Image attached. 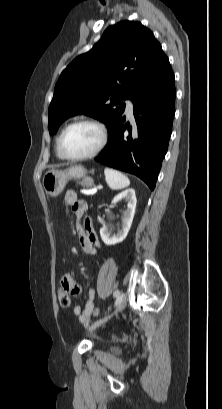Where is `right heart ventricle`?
Here are the masks:
<instances>
[{
  "instance_id": "obj_1",
  "label": "right heart ventricle",
  "mask_w": 222,
  "mask_h": 409,
  "mask_svg": "<svg viewBox=\"0 0 222 409\" xmlns=\"http://www.w3.org/2000/svg\"><path fill=\"white\" fill-rule=\"evenodd\" d=\"M58 140H59V137H58V139H57V141H56V154H57L58 158L64 159V158L61 156V154H60V152H59V149H58Z\"/></svg>"
}]
</instances>
